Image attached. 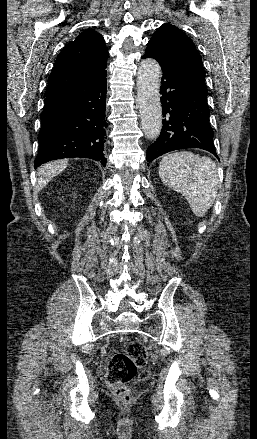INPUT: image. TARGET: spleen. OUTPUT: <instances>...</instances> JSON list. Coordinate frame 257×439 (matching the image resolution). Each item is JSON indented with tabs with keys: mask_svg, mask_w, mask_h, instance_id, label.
I'll return each instance as SVG.
<instances>
[{
	"mask_svg": "<svg viewBox=\"0 0 257 439\" xmlns=\"http://www.w3.org/2000/svg\"><path fill=\"white\" fill-rule=\"evenodd\" d=\"M161 181L183 195L197 217H203L218 191L217 167L209 157L190 151L167 154L159 165Z\"/></svg>",
	"mask_w": 257,
	"mask_h": 439,
	"instance_id": "spleen-1",
	"label": "spleen"
}]
</instances>
